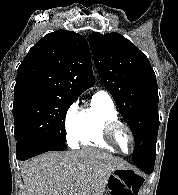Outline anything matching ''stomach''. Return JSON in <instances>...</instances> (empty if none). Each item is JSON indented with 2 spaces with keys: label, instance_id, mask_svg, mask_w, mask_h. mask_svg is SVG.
<instances>
[{
  "label": "stomach",
  "instance_id": "0dacf381",
  "mask_svg": "<svg viewBox=\"0 0 178 195\" xmlns=\"http://www.w3.org/2000/svg\"><path fill=\"white\" fill-rule=\"evenodd\" d=\"M130 169H116L109 176L105 195H124L128 193L127 179L132 175Z\"/></svg>",
  "mask_w": 178,
  "mask_h": 195
}]
</instances>
